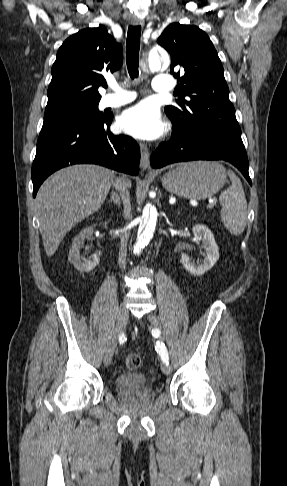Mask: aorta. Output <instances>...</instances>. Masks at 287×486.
<instances>
[{
	"instance_id": "1",
	"label": "aorta",
	"mask_w": 287,
	"mask_h": 486,
	"mask_svg": "<svg viewBox=\"0 0 287 486\" xmlns=\"http://www.w3.org/2000/svg\"><path fill=\"white\" fill-rule=\"evenodd\" d=\"M168 63V55L160 56L157 52H151L148 56V66L152 71L160 70L162 66H167ZM157 216L158 213L154 206L148 205L144 208L134 245L135 253H139L153 238L157 224Z\"/></svg>"
}]
</instances>
